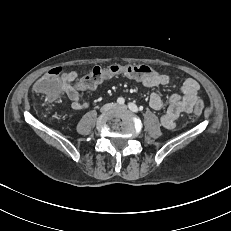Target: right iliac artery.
<instances>
[{
    "label": "right iliac artery",
    "instance_id": "right-iliac-artery-1",
    "mask_svg": "<svg viewBox=\"0 0 231 231\" xmlns=\"http://www.w3.org/2000/svg\"><path fill=\"white\" fill-rule=\"evenodd\" d=\"M117 102H118L119 104H124L125 100H124V98L119 97V98L117 99Z\"/></svg>",
    "mask_w": 231,
    "mask_h": 231
}]
</instances>
